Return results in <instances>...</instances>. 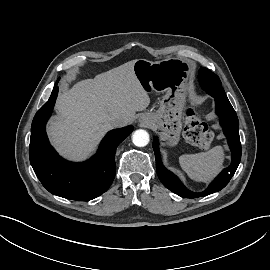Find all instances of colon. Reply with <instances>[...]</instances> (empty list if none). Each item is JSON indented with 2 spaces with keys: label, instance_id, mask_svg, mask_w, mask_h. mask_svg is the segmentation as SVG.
<instances>
[{
  "label": "colon",
  "instance_id": "colon-1",
  "mask_svg": "<svg viewBox=\"0 0 270 270\" xmlns=\"http://www.w3.org/2000/svg\"><path fill=\"white\" fill-rule=\"evenodd\" d=\"M184 135L189 142L200 148H208L212 144L213 134L202 120L201 113L190 108L185 119Z\"/></svg>",
  "mask_w": 270,
  "mask_h": 270
}]
</instances>
